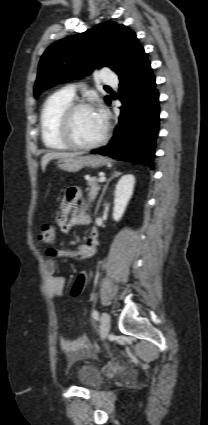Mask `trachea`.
I'll return each mask as SVG.
<instances>
[{
  "label": "trachea",
  "instance_id": "3493384b",
  "mask_svg": "<svg viewBox=\"0 0 208 425\" xmlns=\"http://www.w3.org/2000/svg\"><path fill=\"white\" fill-rule=\"evenodd\" d=\"M105 88H109V86H105Z\"/></svg>",
  "mask_w": 208,
  "mask_h": 425
}]
</instances>
